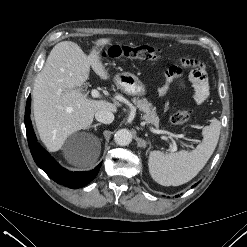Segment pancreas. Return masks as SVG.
Segmentation results:
<instances>
[{
	"mask_svg": "<svg viewBox=\"0 0 247 247\" xmlns=\"http://www.w3.org/2000/svg\"><path fill=\"white\" fill-rule=\"evenodd\" d=\"M132 102L144 113L143 119L147 124H152L155 127L159 126V117L156 113V109L146 98H133Z\"/></svg>",
	"mask_w": 247,
	"mask_h": 247,
	"instance_id": "pancreas-1",
	"label": "pancreas"
}]
</instances>
